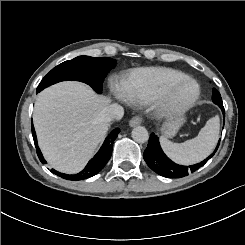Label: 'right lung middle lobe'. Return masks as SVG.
I'll list each match as a JSON object with an SVG mask.
<instances>
[{
    "mask_svg": "<svg viewBox=\"0 0 245 245\" xmlns=\"http://www.w3.org/2000/svg\"><path fill=\"white\" fill-rule=\"evenodd\" d=\"M116 60L108 57L93 58L79 56L53 68L40 82L37 92L64 80H77L90 85L96 92H102L106 74L115 67Z\"/></svg>",
    "mask_w": 245,
    "mask_h": 245,
    "instance_id": "obj_1",
    "label": "right lung middle lobe"
}]
</instances>
